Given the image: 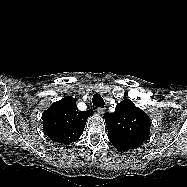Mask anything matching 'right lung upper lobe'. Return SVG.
I'll return each instance as SVG.
<instances>
[{"label":"right lung upper lobe","mask_w":187,"mask_h":187,"mask_svg":"<svg viewBox=\"0 0 187 187\" xmlns=\"http://www.w3.org/2000/svg\"><path fill=\"white\" fill-rule=\"evenodd\" d=\"M92 115V110L79 112L76 100L66 96L44 111L43 128L54 142L70 144L82 135L86 121Z\"/></svg>","instance_id":"right-lung-upper-lobe-1"}]
</instances>
